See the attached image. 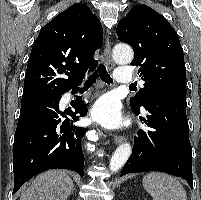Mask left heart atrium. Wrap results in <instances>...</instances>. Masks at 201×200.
<instances>
[{"label": "left heart atrium", "mask_w": 201, "mask_h": 200, "mask_svg": "<svg viewBox=\"0 0 201 200\" xmlns=\"http://www.w3.org/2000/svg\"><path fill=\"white\" fill-rule=\"evenodd\" d=\"M93 115L97 121L107 128H117L123 124V118L117 103L108 97H104L97 102Z\"/></svg>", "instance_id": "left-heart-atrium-1"}]
</instances>
